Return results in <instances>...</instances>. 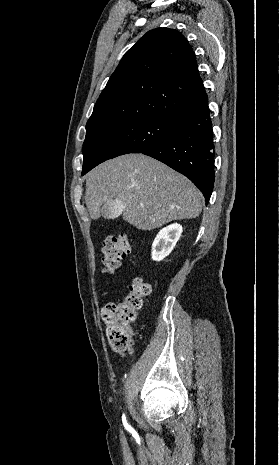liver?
I'll use <instances>...</instances> for the list:
<instances>
[{
	"label": "liver",
	"instance_id": "obj_1",
	"mask_svg": "<svg viewBox=\"0 0 279 465\" xmlns=\"http://www.w3.org/2000/svg\"><path fill=\"white\" fill-rule=\"evenodd\" d=\"M113 199L122 202L123 220L141 230L193 219L202 210V194L187 177L143 154L116 157L87 174L85 203L92 219Z\"/></svg>",
	"mask_w": 279,
	"mask_h": 465
}]
</instances>
